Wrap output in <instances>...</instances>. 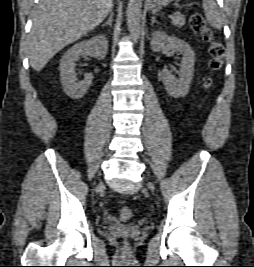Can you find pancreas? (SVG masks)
<instances>
[{
    "mask_svg": "<svg viewBox=\"0 0 254 267\" xmlns=\"http://www.w3.org/2000/svg\"><path fill=\"white\" fill-rule=\"evenodd\" d=\"M171 23L178 28H181L185 25V17L183 15H177L176 17L172 18Z\"/></svg>",
    "mask_w": 254,
    "mask_h": 267,
    "instance_id": "1",
    "label": "pancreas"
}]
</instances>
